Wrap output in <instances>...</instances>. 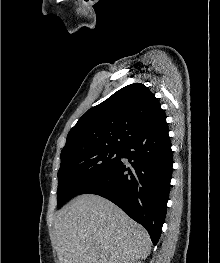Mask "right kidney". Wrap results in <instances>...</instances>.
<instances>
[{"label":"right kidney","instance_id":"obj_1","mask_svg":"<svg viewBox=\"0 0 220 263\" xmlns=\"http://www.w3.org/2000/svg\"><path fill=\"white\" fill-rule=\"evenodd\" d=\"M129 263H143V262H141V261H137V260H134V261L129 262Z\"/></svg>","mask_w":220,"mask_h":263}]
</instances>
